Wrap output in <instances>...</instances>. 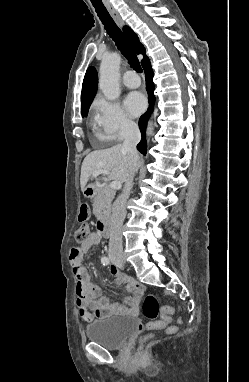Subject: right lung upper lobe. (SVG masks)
I'll return each mask as SVG.
<instances>
[{
    "label": "right lung upper lobe",
    "instance_id": "right-lung-upper-lobe-1",
    "mask_svg": "<svg viewBox=\"0 0 249 382\" xmlns=\"http://www.w3.org/2000/svg\"><path fill=\"white\" fill-rule=\"evenodd\" d=\"M124 34L130 41L133 49L137 54H143V60L141 63L145 62L148 57L146 56V51L144 46L139 42L137 35L133 32L131 28L125 26L123 28ZM97 91V71L94 67H89L86 71L81 93V112L89 109L90 104Z\"/></svg>",
    "mask_w": 249,
    "mask_h": 382
}]
</instances>
